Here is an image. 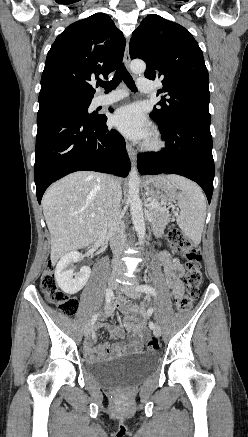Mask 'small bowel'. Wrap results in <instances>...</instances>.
I'll return each instance as SVG.
<instances>
[{
	"mask_svg": "<svg viewBox=\"0 0 248 437\" xmlns=\"http://www.w3.org/2000/svg\"><path fill=\"white\" fill-rule=\"evenodd\" d=\"M161 260L164 263V274L166 278V285L172 291L174 298L183 295L184 287L181 281L183 275V267L178 262L172 261L167 252L161 253ZM122 304V302H121ZM113 312V307L107 308L106 314L110 315ZM127 328L132 331L131 340L128 343H115L111 347L108 343L104 342L95 345V335L87 337L84 345V352L90 360H103L111 356H115L125 352H138L142 349V338L144 336L143 326L141 324L127 323ZM105 327L110 331V334L114 338H124L123 331L118 326Z\"/></svg>",
	"mask_w": 248,
	"mask_h": 437,
	"instance_id": "small-bowel-1",
	"label": "small bowel"
}]
</instances>
